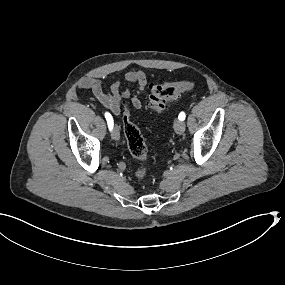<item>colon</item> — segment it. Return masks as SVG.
Masks as SVG:
<instances>
[{
    "label": "colon",
    "mask_w": 285,
    "mask_h": 285,
    "mask_svg": "<svg viewBox=\"0 0 285 285\" xmlns=\"http://www.w3.org/2000/svg\"><path fill=\"white\" fill-rule=\"evenodd\" d=\"M194 85L195 83L192 81H180L154 85L151 87L148 96L147 107L153 111L161 113L167 108L171 101L179 98L184 92L193 89ZM121 105L123 108V131L129 152L134 158L145 163L147 160L148 148L141 131L130 118V101L123 97ZM146 172V166H142L137 170L136 177L141 180L146 175Z\"/></svg>",
    "instance_id": "5ec220e1"
}]
</instances>
